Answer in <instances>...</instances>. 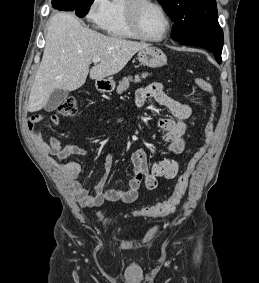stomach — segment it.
<instances>
[{
  "mask_svg": "<svg viewBox=\"0 0 259 283\" xmlns=\"http://www.w3.org/2000/svg\"><path fill=\"white\" fill-rule=\"evenodd\" d=\"M137 57L140 63L151 68L161 67L167 63V57L163 51L153 46L141 49ZM96 87L100 91L111 92L115 83L112 80H99L96 82Z\"/></svg>",
  "mask_w": 259,
  "mask_h": 283,
  "instance_id": "stomach-1",
  "label": "stomach"
}]
</instances>
